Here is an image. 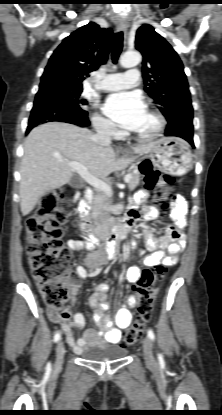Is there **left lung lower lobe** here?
<instances>
[{"label":"left lung lower lobe","mask_w":222,"mask_h":415,"mask_svg":"<svg viewBox=\"0 0 222 415\" xmlns=\"http://www.w3.org/2000/svg\"><path fill=\"white\" fill-rule=\"evenodd\" d=\"M193 110H186L180 119L168 122L166 136H177L188 141L193 147Z\"/></svg>","instance_id":"left-lung-lower-lobe-1"}]
</instances>
